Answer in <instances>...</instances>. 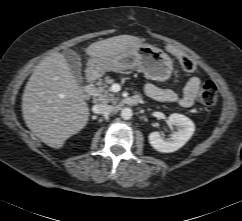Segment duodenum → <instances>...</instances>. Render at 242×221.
Wrapping results in <instances>:
<instances>
[{
	"label": "duodenum",
	"instance_id": "410a0bca",
	"mask_svg": "<svg viewBox=\"0 0 242 221\" xmlns=\"http://www.w3.org/2000/svg\"><path fill=\"white\" fill-rule=\"evenodd\" d=\"M95 78H96V75L94 73H90L87 76V85L84 86L80 91L81 97L87 98V97L90 96V94H91V84L93 83ZM137 102H138V99L134 98V97H130V98L126 99V103L128 105H135V104H137Z\"/></svg>",
	"mask_w": 242,
	"mask_h": 221
}]
</instances>
